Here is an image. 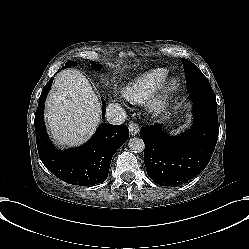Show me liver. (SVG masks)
<instances>
[{
	"instance_id": "liver-1",
	"label": "liver",
	"mask_w": 249,
	"mask_h": 249,
	"mask_svg": "<svg viewBox=\"0 0 249 249\" xmlns=\"http://www.w3.org/2000/svg\"><path fill=\"white\" fill-rule=\"evenodd\" d=\"M101 115V103L80 71L66 70L55 77L44 116L58 145L74 147L86 142L100 124Z\"/></svg>"
}]
</instances>
